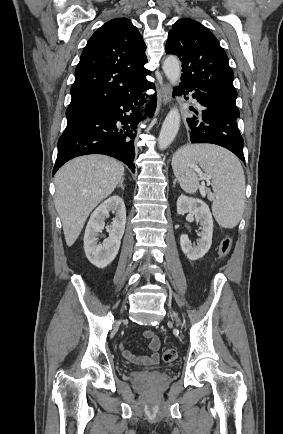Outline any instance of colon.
<instances>
[{
	"instance_id": "colon-1",
	"label": "colon",
	"mask_w": 283,
	"mask_h": 434,
	"mask_svg": "<svg viewBox=\"0 0 283 434\" xmlns=\"http://www.w3.org/2000/svg\"><path fill=\"white\" fill-rule=\"evenodd\" d=\"M231 247H232L231 239L228 237L224 238L220 243L219 257L225 258L229 254ZM162 357L166 363H171L177 359L178 352L176 349L170 348L164 351Z\"/></svg>"
}]
</instances>
